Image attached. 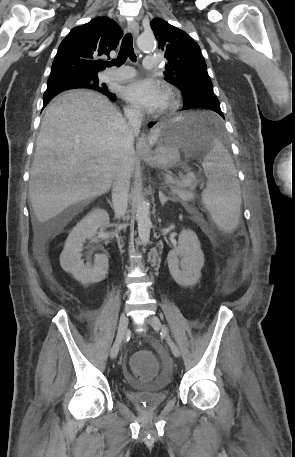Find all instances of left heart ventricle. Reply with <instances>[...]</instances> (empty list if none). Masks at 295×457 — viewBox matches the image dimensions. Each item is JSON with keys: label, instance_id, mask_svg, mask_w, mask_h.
Returning a JSON list of instances; mask_svg holds the SVG:
<instances>
[{"label": "left heart ventricle", "instance_id": "obj_1", "mask_svg": "<svg viewBox=\"0 0 295 457\" xmlns=\"http://www.w3.org/2000/svg\"><path fill=\"white\" fill-rule=\"evenodd\" d=\"M166 102V95H165V98H164V101H163V104L161 105V107L165 104Z\"/></svg>", "mask_w": 295, "mask_h": 457}]
</instances>
